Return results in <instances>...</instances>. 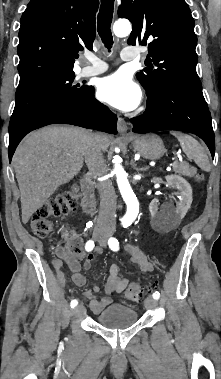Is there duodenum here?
<instances>
[{
  "instance_id": "1",
  "label": "duodenum",
  "mask_w": 221,
  "mask_h": 379,
  "mask_svg": "<svg viewBox=\"0 0 221 379\" xmlns=\"http://www.w3.org/2000/svg\"><path fill=\"white\" fill-rule=\"evenodd\" d=\"M84 197L82 201L83 210L87 214H93L95 209V198L92 187L87 183H83Z\"/></svg>"
}]
</instances>
